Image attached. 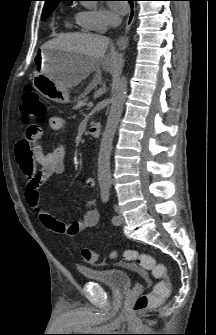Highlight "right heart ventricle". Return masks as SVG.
<instances>
[{
    "instance_id": "1",
    "label": "right heart ventricle",
    "mask_w": 216,
    "mask_h": 335,
    "mask_svg": "<svg viewBox=\"0 0 216 335\" xmlns=\"http://www.w3.org/2000/svg\"><path fill=\"white\" fill-rule=\"evenodd\" d=\"M66 27L68 28H79V29H83V30H87V26L85 25V23L83 22L81 16H80V12L76 13L74 15L73 20L71 19H67L65 22Z\"/></svg>"
}]
</instances>
